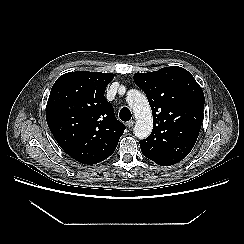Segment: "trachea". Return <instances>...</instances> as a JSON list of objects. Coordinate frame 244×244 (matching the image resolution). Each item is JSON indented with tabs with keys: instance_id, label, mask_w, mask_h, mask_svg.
Here are the masks:
<instances>
[{
	"instance_id": "trachea-1",
	"label": "trachea",
	"mask_w": 244,
	"mask_h": 244,
	"mask_svg": "<svg viewBox=\"0 0 244 244\" xmlns=\"http://www.w3.org/2000/svg\"><path fill=\"white\" fill-rule=\"evenodd\" d=\"M131 116V111L127 107H123L119 112V117L122 121H129Z\"/></svg>"
}]
</instances>
